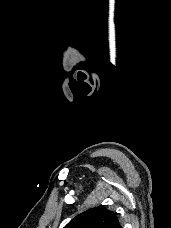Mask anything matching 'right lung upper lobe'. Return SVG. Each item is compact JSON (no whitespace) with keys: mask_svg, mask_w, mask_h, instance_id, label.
I'll return each mask as SVG.
<instances>
[{"mask_svg":"<svg viewBox=\"0 0 171 228\" xmlns=\"http://www.w3.org/2000/svg\"><path fill=\"white\" fill-rule=\"evenodd\" d=\"M64 228H122V226L114 212L99 206L77 215Z\"/></svg>","mask_w":171,"mask_h":228,"instance_id":"1","label":"right lung upper lobe"}]
</instances>
